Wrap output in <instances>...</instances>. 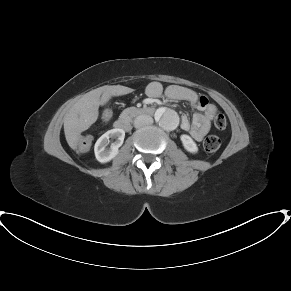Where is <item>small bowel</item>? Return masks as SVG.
Segmentation results:
<instances>
[{"instance_id": "c3829d8e", "label": "small bowel", "mask_w": 291, "mask_h": 291, "mask_svg": "<svg viewBox=\"0 0 291 291\" xmlns=\"http://www.w3.org/2000/svg\"><path fill=\"white\" fill-rule=\"evenodd\" d=\"M146 94L151 99L159 98L162 94L161 84L159 82L150 83ZM165 95L171 100L187 101L197 110L192 122L187 117H182L181 128L190 132L196 140H201L210 130L211 120L217 111L215 104L209 102L205 96L180 85L169 86L165 90Z\"/></svg>"}]
</instances>
